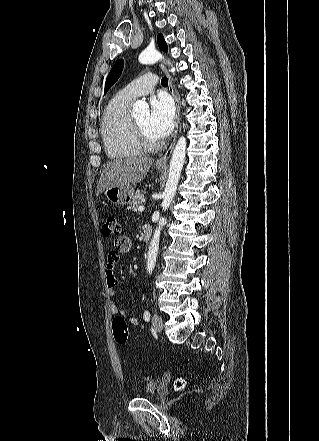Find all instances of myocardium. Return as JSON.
Returning a JSON list of instances; mask_svg holds the SVG:
<instances>
[{"mask_svg": "<svg viewBox=\"0 0 319 441\" xmlns=\"http://www.w3.org/2000/svg\"><path fill=\"white\" fill-rule=\"evenodd\" d=\"M132 123L137 142L143 151H155L162 146L159 140L149 139L135 120L132 119Z\"/></svg>", "mask_w": 319, "mask_h": 441, "instance_id": "obj_1", "label": "myocardium"}]
</instances>
